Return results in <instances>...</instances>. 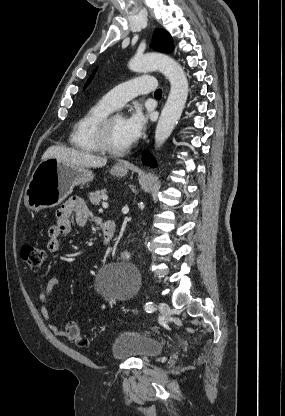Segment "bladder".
Here are the masks:
<instances>
[{"label": "bladder", "mask_w": 285, "mask_h": 416, "mask_svg": "<svg viewBox=\"0 0 285 416\" xmlns=\"http://www.w3.org/2000/svg\"><path fill=\"white\" fill-rule=\"evenodd\" d=\"M163 342L149 335L137 332L118 334L111 347V354L116 359L133 358L146 360L157 357L163 350Z\"/></svg>", "instance_id": "bladder-1"}]
</instances>
